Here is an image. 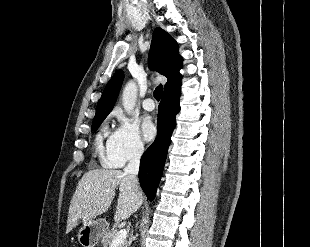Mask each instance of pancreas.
Listing matches in <instances>:
<instances>
[{
    "instance_id": "pancreas-1",
    "label": "pancreas",
    "mask_w": 310,
    "mask_h": 247,
    "mask_svg": "<svg viewBox=\"0 0 310 247\" xmlns=\"http://www.w3.org/2000/svg\"><path fill=\"white\" fill-rule=\"evenodd\" d=\"M117 233L118 231L116 228H112L110 231H108L101 240L103 247H110L112 240L115 238ZM119 247H127V242L124 241L119 245Z\"/></svg>"
}]
</instances>
